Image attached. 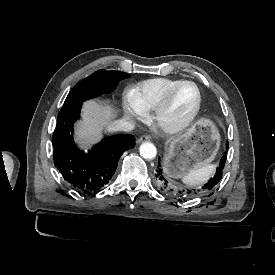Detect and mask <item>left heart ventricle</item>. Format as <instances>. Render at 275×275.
<instances>
[{"label": "left heart ventricle", "mask_w": 275, "mask_h": 275, "mask_svg": "<svg viewBox=\"0 0 275 275\" xmlns=\"http://www.w3.org/2000/svg\"><path fill=\"white\" fill-rule=\"evenodd\" d=\"M197 100L196 89L191 84L181 85L175 92L168 112L162 117L166 125L176 124L183 120L193 109Z\"/></svg>", "instance_id": "obj_1"}]
</instances>
